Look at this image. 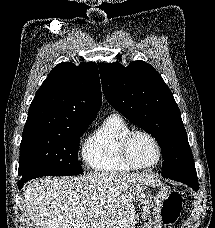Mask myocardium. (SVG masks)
<instances>
[{"instance_id":"1","label":"myocardium","mask_w":215,"mask_h":228,"mask_svg":"<svg viewBox=\"0 0 215 228\" xmlns=\"http://www.w3.org/2000/svg\"><path fill=\"white\" fill-rule=\"evenodd\" d=\"M137 135L146 136L148 139L151 140V142L155 146V149L157 151V159L150 166H145V167L137 166L136 164L133 163V161L131 159V156H130V145H131V142L134 139V137L137 136ZM118 148H119V154H120V157H121L123 163L131 170L150 171V170L155 169L160 164V162L162 160V147H161L159 141L157 140V138L152 133H150L147 130L132 129V130L128 131L120 139Z\"/></svg>"}]
</instances>
